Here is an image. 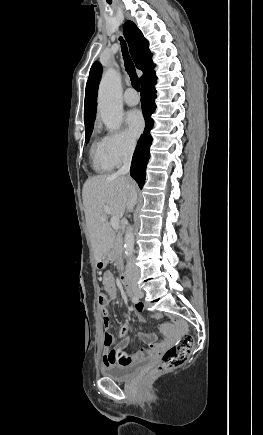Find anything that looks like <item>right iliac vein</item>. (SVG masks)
Listing matches in <instances>:
<instances>
[{
	"label": "right iliac vein",
	"instance_id": "right-iliac-vein-1",
	"mask_svg": "<svg viewBox=\"0 0 263 435\" xmlns=\"http://www.w3.org/2000/svg\"><path fill=\"white\" fill-rule=\"evenodd\" d=\"M133 293H134L136 296H141V295H142L141 290H140L139 288H137V287H134V288H133Z\"/></svg>",
	"mask_w": 263,
	"mask_h": 435
}]
</instances>
